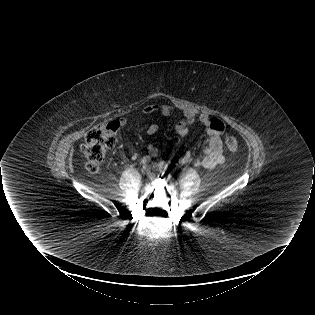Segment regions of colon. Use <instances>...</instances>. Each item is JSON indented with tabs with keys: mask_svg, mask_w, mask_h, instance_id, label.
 Wrapping results in <instances>:
<instances>
[{
	"mask_svg": "<svg viewBox=\"0 0 315 315\" xmlns=\"http://www.w3.org/2000/svg\"><path fill=\"white\" fill-rule=\"evenodd\" d=\"M120 129L118 122L99 125L90 130L81 146V151L86 159V167L90 172H96L103 162L107 151L113 146L117 131ZM225 145L231 152L238 150V141L234 136L225 138Z\"/></svg>",
	"mask_w": 315,
	"mask_h": 315,
	"instance_id": "5ec220e1",
	"label": "colon"
}]
</instances>
